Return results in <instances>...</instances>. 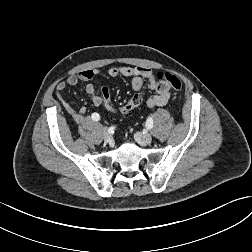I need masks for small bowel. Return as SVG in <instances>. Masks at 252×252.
<instances>
[{
  "mask_svg": "<svg viewBox=\"0 0 252 252\" xmlns=\"http://www.w3.org/2000/svg\"><path fill=\"white\" fill-rule=\"evenodd\" d=\"M108 74L113 78L126 77L130 78L131 86L135 91H139L144 81L147 82L148 87L154 91V94L147 98L146 105L149 108L161 107L167 104L170 98V86L164 80H158L156 74L147 67H129L120 66L112 67L108 70ZM97 75L95 70H83L75 75H71L67 78L65 82H60L56 87V96L60 101L63 108L71 114L73 121L76 124H81L84 121L86 114V107H80L75 109L68 101L63 97V92L66 87H73L78 84V82L85 81L86 85V95L89 100L95 106H100V95L96 92L93 81Z\"/></svg>",
  "mask_w": 252,
  "mask_h": 252,
  "instance_id": "1",
  "label": "small bowel"
}]
</instances>
